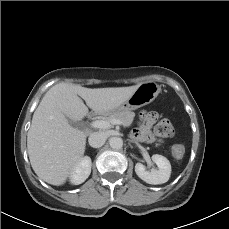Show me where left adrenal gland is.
<instances>
[{"label":"left adrenal gland","mask_w":229,"mask_h":229,"mask_svg":"<svg viewBox=\"0 0 229 229\" xmlns=\"http://www.w3.org/2000/svg\"><path fill=\"white\" fill-rule=\"evenodd\" d=\"M128 141H129V142H132V143H134V141H133V140H130V139H129Z\"/></svg>","instance_id":"obj_1"}]
</instances>
